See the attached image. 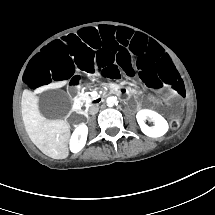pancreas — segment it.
<instances>
[{
    "instance_id": "cf45deb5",
    "label": "pancreas",
    "mask_w": 215,
    "mask_h": 215,
    "mask_svg": "<svg viewBox=\"0 0 215 215\" xmlns=\"http://www.w3.org/2000/svg\"><path fill=\"white\" fill-rule=\"evenodd\" d=\"M82 98L85 99V102H87V103H89L90 100L92 99V97L87 96V95H84Z\"/></svg>"
}]
</instances>
